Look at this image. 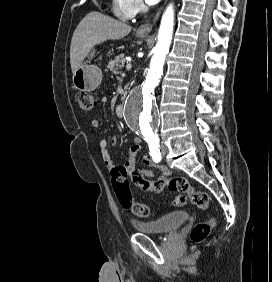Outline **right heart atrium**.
Returning <instances> with one entry per match:
<instances>
[{
	"mask_svg": "<svg viewBox=\"0 0 272 282\" xmlns=\"http://www.w3.org/2000/svg\"><path fill=\"white\" fill-rule=\"evenodd\" d=\"M126 4L124 10L128 13V15L132 16L138 13L143 5L141 0H126Z\"/></svg>",
	"mask_w": 272,
	"mask_h": 282,
	"instance_id": "1",
	"label": "right heart atrium"
}]
</instances>
